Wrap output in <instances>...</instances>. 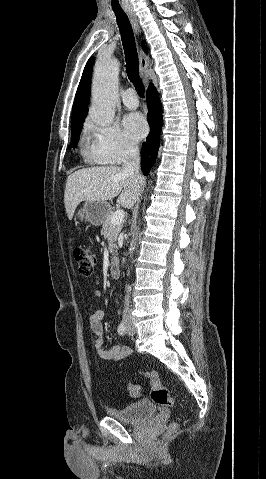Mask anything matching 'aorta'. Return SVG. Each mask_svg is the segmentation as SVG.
I'll use <instances>...</instances> for the list:
<instances>
[{
    "label": "aorta",
    "mask_w": 266,
    "mask_h": 479,
    "mask_svg": "<svg viewBox=\"0 0 266 479\" xmlns=\"http://www.w3.org/2000/svg\"><path fill=\"white\" fill-rule=\"evenodd\" d=\"M118 75L119 62L117 59H101L96 64L90 116L94 122L102 126L111 125L115 117V108L118 103ZM136 239V237L133 238L130 243V253L135 248Z\"/></svg>",
    "instance_id": "obj_1"
}]
</instances>
